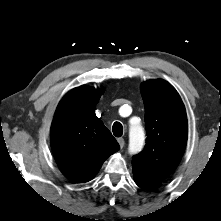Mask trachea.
I'll return each mask as SVG.
<instances>
[{"label":"trachea","instance_id":"obj_1","mask_svg":"<svg viewBox=\"0 0 221 221\" xmlns=\"http://www.w3.org/2000/svg\"><path fill=\"white\" fill-rule=\"evenodd\" d=\"M112 130L115 137H121L123 134V126L120 122H115L113 124Z\"/></svg>","mask_w":221,"mask_h":221}]
</instances>
